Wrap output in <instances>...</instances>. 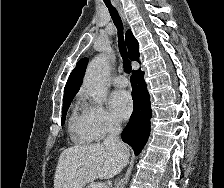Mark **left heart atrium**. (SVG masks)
Segmentation results:
<instances>
[{
    "instance_id": "left-heart-atrium-1",
    "label": "left heart atrium",
    "mask_w": 224,
    "mask_h": 188,
    "mask_svg": "<svg viewBox=\"0 0 224 188\" xmlns=\"http://www.w3.org/2000/svg\"><path fill=\"white\" fill-rule=\"evenodd\" d=\"M110 107L116 117L121 120H127L133 109L130 94L124 90L113 92L110 98Z\"/></svg>"
}]
</instances>
